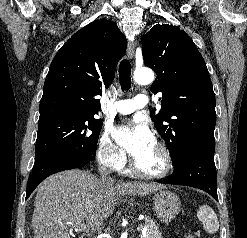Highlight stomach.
I'll return each instance as SVG.
<instances>
[{
	"label": "stomach",
	"instance_id": "obj_1",
	"mask_svg": "<svg viewBox=\"0 0 247 238\" xmlns=\"http://www.w3.org/2000/svg\"><path fill=\"white\" fill-rule=\"evenodd\" d=\"M154 210L160 219L168 224L180 211L179 197L170 191H159L153 198Z\"/></svg>",
	"mask_w": 247,
	"mask_h": 238
}]
</instances>
